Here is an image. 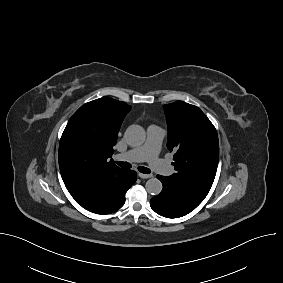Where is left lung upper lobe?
<instances>
[{
    "label": "left lung upper lobe",
    "mask_w": 283,
    "mask_h": 283,
    "mask_svg": "<svg viewBox=\"0 0 283 283\" xmlns=\"http://www.w3.org/2000/svg\"><path fill=\"white\" fill-rule=\"evenodd\" d=\"M167 148L174 153L176 173L170 177L203 201L213 184L219 160L215 127L200 108L178 101L164 105Z\"/></svg>",
    "instance_id": "left-lung-upper-lobe-1"
}]
</instances>
